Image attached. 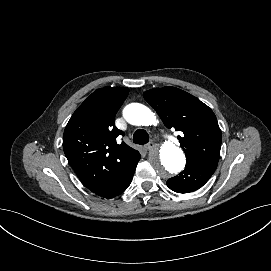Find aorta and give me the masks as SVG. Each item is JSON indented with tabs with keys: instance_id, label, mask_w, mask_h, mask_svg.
<instances>
[{
	"instance_id": "aorta-1",
	"label": "aorta",
	"mask_w": 271,
	"mask_h": 271,
	"mask_svg": "<svg viewBox=\"0 0 271 271\" xmlns=\"http://www.w3.org/2000/svg\"><path fill=\"white\" fill-rule=\"evenodd\" d=\"M127 122L137 126L156 124L155 114L145 105L132 103L123 110ZM154 170L162 177H170L181 172L186 163L183 151L171 142L164 143L160 148L154 149L149 156Z\"/></svg>"
}]
</instances>
